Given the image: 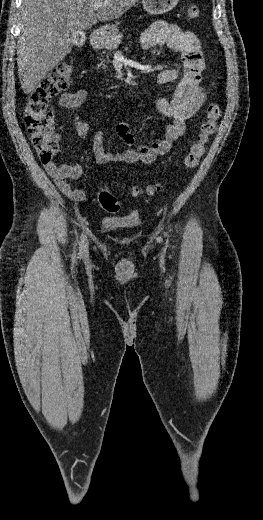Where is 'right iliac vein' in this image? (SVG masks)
<instances>
[{
	"label": "right iliac vein",
	"instance_id": "right-iliac-vein-1",
	"mask_svg": "<svg viewBox=\"0 0 263 520\" xmlns=\"http://www.w3.org/2000/svg\"><path fill=\"white\" fill-rule=\"evenodd\" d=\"M80 253L86 255L88 253V239L83 236L80 243Z\"/></svg>",
	"mask_w": 263,
	"mask_h": 520
}]
</instances>
